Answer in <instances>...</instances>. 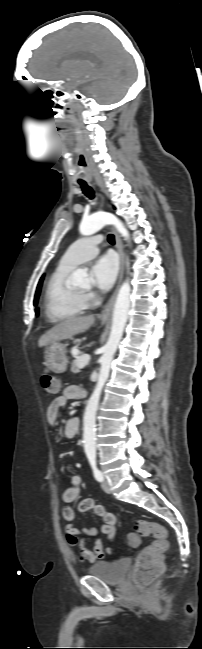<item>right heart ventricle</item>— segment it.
Returning a JSON list of instances; mask_svg holds the SVG:
<instances>
[{
    "label": "right heart ventricle",
    "mask_w": 202,
    "mask_h": 649,
    "mask_svg": "<svg viewBox=\"0 0 202 649\" xmlns=\"http://www.w3.org/2000/svg\"><path fill=\"white\" fill-rule=\"evenodd\" d=\"M74 267L60 262L47 282L44 309L51 322L71 319L86 309L83 294L69 280Z\"/></svg>",
    "instance_id": "obj_1"
}]
</instances>
